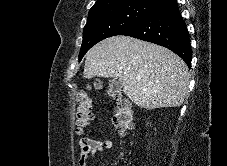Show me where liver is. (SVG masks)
<instances>
[{
	"label": "liver",
	"instance_id": "liver-1",
	"mask_svg": "<svg viewBox=\"0 0 227 166\" xmlns=\"http://www.w3.org/2000/svg\"><path fill=\"white\" fill-rule=\"evenodd\" d=\"M84 78L114 77L137 106L178 107L190 75L186 63L169 49L128 36L109 37L86 54Z\"/></svg>",
	"mask_w": 227,
	"mask_h": 166
}]
</instances>
